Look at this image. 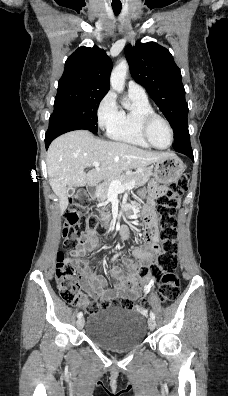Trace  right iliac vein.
Instances as JSON below:
<instances>
[{"mask_svg": "<svg viewBox=\"0 0 228 396\" xmlns=\"http://www.w3.org/2000/svg\"><path fill=\"white\" fill-rule=\"evenodd\" d=\"M83 326H84V318H79L78 320H77V327L79 328V329H82L83 328Z\"/></svg>", "mask_w": 228, "mask_h": 396, "instance_id": "63e3f726", "label": "right iliac vein"}]
</instances>
